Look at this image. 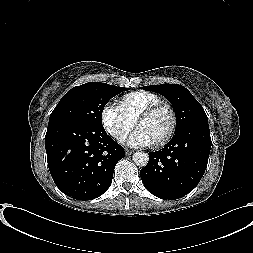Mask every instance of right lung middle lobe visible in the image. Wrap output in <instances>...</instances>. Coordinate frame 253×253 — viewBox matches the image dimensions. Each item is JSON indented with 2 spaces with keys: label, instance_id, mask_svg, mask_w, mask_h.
Wrapping results in <instances>:
<instances>
[{
  "label": "right lung middle lobe",
  "instance_id": "obj_1",
  "mask_svg": "<svg viewBox=\"0 0 253 253\" xmlns=\"http://www.w3.org/2000/svg\"><path fill=\"white\" fill-rule=\"evenodd\" d=\"M129 88L100 82H88L69 90L50 115L48 125L62 121H78L103 128L102 111L107 102Z\"/></svg>",
  "mask_w": 253,
  "mask_h": 253
}]
</instances>
